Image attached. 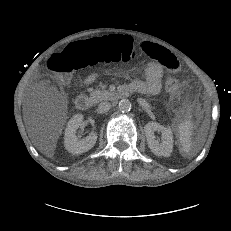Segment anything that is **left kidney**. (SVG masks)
<instances>
[{"label":"left kidney","instance_id":"1","mask_svg":"<svg viewBox=\"0 0 231 231\" xmlns=\"http://www.w3.org/2000/svg\"><path fill=\"white\" fill-rule=\"evenodd\" d=\"M147 144L150 150L157 156H169L173 149V135L168 127H164L157 122H149L144 127ZM161 133L162 142L155 138V132Z\"/></svg>","mask_w":231,"mask_h":231}]
</instances>
